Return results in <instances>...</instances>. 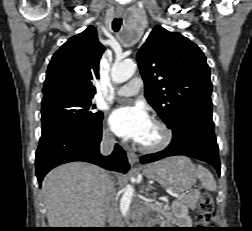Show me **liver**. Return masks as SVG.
I'll list each match as a JSON object with an SVG mask.
<instances>
[{"mask_svg":"<svg viewBox=\"0 0 252 231\" xmlns=\"http://www.w3.org/2000/svg\"><path fill=\"white\" fill-rule=\"evenodd\" d=\"M110 175L84 162L63 164L43 180L42 194L50 228H102L104 195Z\"/></svg>","mask_w":252,"mask_h":231,"instance_id":"6515ba94","label":"liver"}]
</instances>
